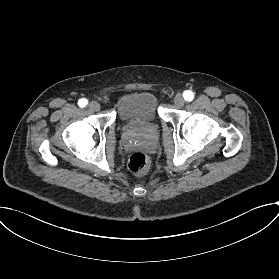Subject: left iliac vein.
<instances>
[{"label":"left iliac vein","mask_w":279,"mask_h":279,"mask_svg":"<svg viewBox=\"0 0 279 279\" xmlns=\"http://www.w3.org/2000/svg\"><path fill=\"white\" fill-rule=\"evenodd\" d=\"M184 98L182 96V94H177L175 97H174V103L176 106L178 107H182L184 105Z\"/></svg>","instance_id":"left-iliac-vein-1"}]
</instances>
